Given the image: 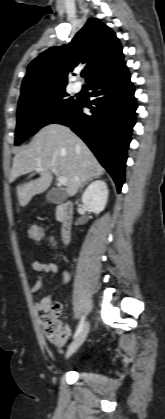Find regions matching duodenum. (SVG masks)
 Masks as SVG:
<instances>
[{
  "label": "duodenum",
  "instance_id": "obj_1",
  "mask_svg": "<svg viewBox=\"0 0 165 419\" xmlns=\"http://www.w3.org/2000/svg\"><path fill=\"white\" fill-rule=\"evenodd\" d=\"M74 206L70 200L62 201L58 204V214L60 219V233L64 244H68L71 239L73 228Z\"/></svg>",
  "mask_w": 165,
  "mask_h": 419
}]
</instances>
